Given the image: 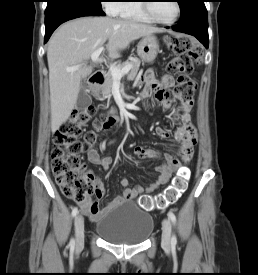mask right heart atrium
I'll use <instances>...</instances> for the list:
<instances>
[{
    "mask_svg": "<svg viewBox=\"0 0 258 275\" xmlns=\"http://www.w3.org/2000/svg\"><path fill=\"white\" fill-rule=\"evenodd\" d=\"M105 2H107V3H106V8H107L108 13L114 14L115 11H116L117 8H118V5H119V3H116V2H119V1L107 0V1H105Z\"/></svg>",
    "mask_w": 258,
    "mask_h": 275,
    "instance_id": "1",
    "label": "right heart atrium"
}]
</instances>
